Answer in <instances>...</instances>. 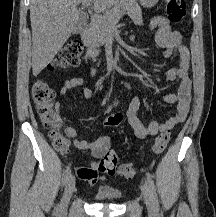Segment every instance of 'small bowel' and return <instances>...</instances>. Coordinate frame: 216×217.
I'll use <instances>...</instances> for the list:
<instances>
[{"instance_id":"c3829d8e","label":"small bowel","mask_w":216,"mask_h":217,"mask_svg":"<svg viewBox=\"0 0 216 217\" xmlns=\"http://www.w3.org/2000/svg\"><path fill=\"white\" fill-rule=\"evenodd\" d=\"M150 26L153 30H156L155 40L163 48V56L165 58L177 56L178 58V67L172 68L167 72L165 77L166 81L171 82L179 79L180 84L176 93H168L162 96L164 102L176 104L175 114L163 123L153 120L148 124H144L138 115L141 104L140 97L136 96L132 99L127 110V118L135 135L140 139L169 131L176 125L184 122L188 115L191 102L192 82L188 75L191 56L189 50L183 45L181 33L173 30L168 19L163 15L154 16ZM86 84L87 80L83 78L66 80L60 86L59 93L61 95H67L71 90L81 88L86 98H93L94 92ZM56 108L59 112H63V108L59 102L56 103ZM64 131L72 140L75 147L89 151L93 158L88 166L77 169L78 178L89 184L101 183L103 187H106V180L98 178V165L102 156L110 151L112 144L111 137L101 136L93 142H87L79 139L77 131L72 127H65Z\"/></svg>"}]
</instances>
